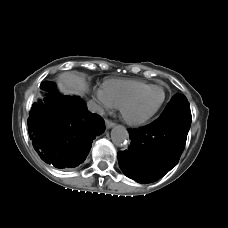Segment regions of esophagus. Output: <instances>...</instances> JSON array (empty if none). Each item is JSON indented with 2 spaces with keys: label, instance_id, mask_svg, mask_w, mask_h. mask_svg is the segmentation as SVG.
<instances>
[{
  "label": "esophagus",
  "instance_id": "34e87169",
  "mask_svg": "<svg viewBox=\"0 0 228 228\" xmlns=\"http://www.w3.org/2000/svg\"><path fill=\"white\" fill-rule=\"evenodd\" d=\"M105 125H106V128H107V129H110V128H112L113 126H115V122L106 119V120H105Z\"/></svg>",
  "mask_w": 228,
  "mask_h": 228
}]
</instances>
